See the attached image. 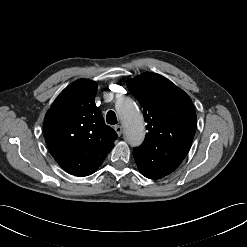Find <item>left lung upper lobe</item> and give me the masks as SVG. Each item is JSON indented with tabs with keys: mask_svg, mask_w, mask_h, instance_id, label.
Returning a JSON list of instances; mask_svg holds the SVG:
<instances>
[{
	"mask_svg": "<svg viewBox=\"0 0 247 247\" xmlns=\"http://www.w3.org/2000/svg\"><path fill=\"white\" fill-rule=\"evenodd\" d=\"M128 88L143 107L148 130L143 144L133 149L136 163L167 161L180 165L196 131L191 98L171 81L152 72L129 81Z\"/></svg>",
	"mask_w": 247,
	"mask_h": 247,
	"instance_id": "obj_1",
	"label": "left lung upper lobe"
}]
</instances>
